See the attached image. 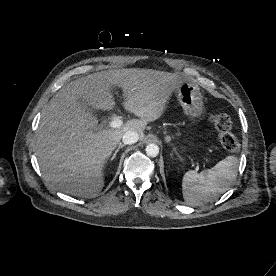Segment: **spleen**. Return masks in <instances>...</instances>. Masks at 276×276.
Listing matches in <instances>:
<instances>
[{
    "label": "spleen",
    "instance_id": "1",
    "mask_svg": "<svg viewBox=\"0 0 276 276\" xmlns=\"http://www.w3.org/2000/svg\"><path fill=\"white\" fill-rule=\"evenodd\" d=\"M238 159L227 156L213 168L197 173L186 172L182 179V193L189 205H203L225 193L237 175Z\"/></svg>",
    "mask_w": 276,
    "mask_h": 276
}]
</instances>
